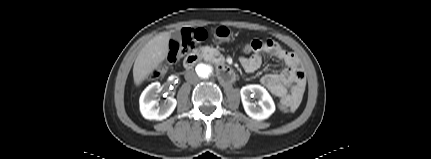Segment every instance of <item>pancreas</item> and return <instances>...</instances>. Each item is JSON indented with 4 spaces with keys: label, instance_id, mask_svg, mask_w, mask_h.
<instances>
[{
    "label": "pancreas",
    "instance_id": "cf45deb5",
    "mask_svg": "<svg viewBox=\"0 0 431 159\" xmlns=\"http://www.w3.org/2000/svg\"><path fill=\"white\" fill-rule=\"evenodd\" d=\"M202 55L206 60L213 61L217 56H220V52L212 47L204 46L201 49Z\"/></svg>",
    "mask_w": 431,
    "mask_h": 159
}]
</instances>
